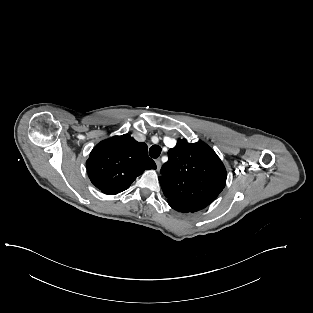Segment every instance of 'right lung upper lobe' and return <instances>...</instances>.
Returning <instances> with one entry per match:
<instances>
[{
	"label": "right lung upper lobe",
	"mask_w": 313,
	"mask_h": 313,
	"mask_svg": "<svg viewBox=\"0 0 313 313\" xmlns=\"http://www.w3.org/2000/svg\"><path fill=\"white\" fill-rule=\"evenodd\" d=\"M147 150L145 143L137 142L129 134L99 142L86 162L92 184L108 195L126 190L144 170L156 169Z\"/></svg>",
	"instance_id": "1"
}]
</instances>
